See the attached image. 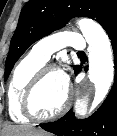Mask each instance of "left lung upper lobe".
I'll return each mask as SVG.
<instances>
[{
  "label": "left lung upper lobe",
  "mask_w": 117,
  "mask_h": 136,
  "mask_svg": "<svg viewBox=\"0 0 117 136\" xmlns=\"http://www.w3.org/2000/svg\"><path fill=\"white\" fill-rule=\"evenodd\" d=\"M117 15V0H29L22 8L5 62L6 80L26 49L51 32L62 28L70 18L85 16L105 29ZM80 66L74 65L76 71Z\"/></svg>",
  "instance_id": "5c2ea615"
}]
</instances>
